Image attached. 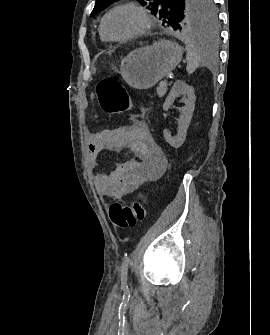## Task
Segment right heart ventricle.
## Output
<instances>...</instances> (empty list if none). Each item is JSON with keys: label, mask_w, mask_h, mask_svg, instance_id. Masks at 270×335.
I'll return each instance as SVG.
<instances>
[{"label": "right heart ventricle", "mask_w": 270, "mask_h": 335, "mask_svg": "<svg viewBox=\"0 0 270 335\" xmlns=\"http://www.w3.org/2000/svg\"><path fill=\"white\" fill-rule=\"evenodd\" d=\"M99 34H100V38L102 41H108V38L105 37V35L103 34L101 30L99 31Z\"/></svg>", "instance_id": "e07e8e85"}]
</instances>
